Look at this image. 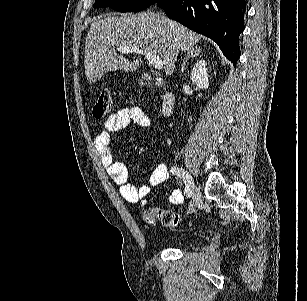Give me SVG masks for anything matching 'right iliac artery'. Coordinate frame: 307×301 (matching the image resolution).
<instances>
[{"label": "right iliac artery", "instance_id": "82829eb1", "mask_svg": "<svg viewBox=\"0 0 307 301\" xmlns=\"http://www.w3.org/2000/svg\"><path fill=\"white\" fill-rule=\"evenodd\" d=\"M172 174L178 175L181 179H183V181L186 184V188H185V192L184 194L187 197H191V190H189V187L187 186V178H188V173L181 167H177V166H172L171 170Z\"/></svg>", "mask_w": 307, "mask_h": 301}]
</instances>
